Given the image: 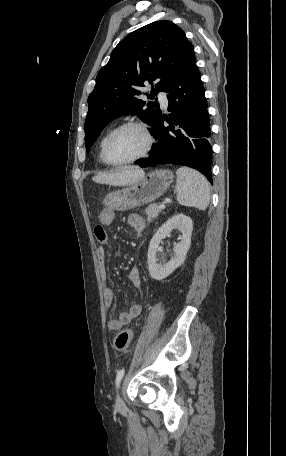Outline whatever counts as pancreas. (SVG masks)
<instances>
[{"mask_svg":"<svg viewBox=\"0 0 286 456\" xmlns=\"http://www.w3.org/2000/svg\"><path fill=\"white\" fill-rule=\"evenodd\" d=\"M160 212H161V209H159V207L156 203L150 204L145 210V213H146L149 221L156 218Z\"/></svg>","mask_w":286,"mask_h":456,"instance_id":"1","label":"pancreas"}]
</instances>
